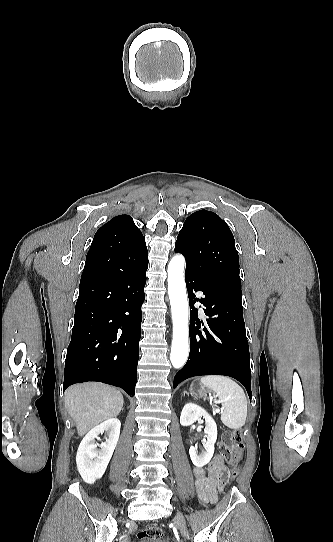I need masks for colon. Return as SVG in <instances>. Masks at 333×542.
I'll use <instances>...</instances> for the list:
<instances>
[{
    "mask_svg": "<svg viewBox=\"0 0 333 542\" xmlns=\"http://www.w3.org/2000/svg\"><path fill=\"white\" fill-rule=\"evenodd\" d=\"M243 447L244 435L242 430L232 431L228 429L223 433L222 441L219 444V449L233 475H236L239 470V463L242 457ZM226 480H228V477ZM137 537L143 542H157L163 538V531L161 528L152 525L140 530Z\"/></svg>",
    "mask_w": 333,
    "mask_h": 542,
    "instance_id": "colon-1",
    "label": "colon"
}]
</instances>
